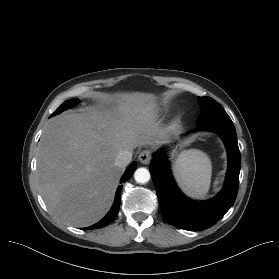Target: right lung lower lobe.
I'll return each mask as SVG.
<instances>
[{"mask_svg": "<svg viewBox=\"0 0 279 279\" xmlns=\"http://www.w3.org/2000/svg\"><path fill=\"white\" fill-rule=\"evenodd\" d=\"M136 167H137L136 163H132L129 166V168L127 169V171L125 172V174L121 178V183L127 181L132 176V174L136 170ZM121 187H122V185H120L117 188L113 206H112L111 210L107 213V215L102 220H100L98 223H96V224H94L90 227H87L85 229L101 228V227L107 226L108 224H110L115 219V217L118 215L119 208H120Z\"/></svg>", "mask_w": 279, "mask_h": 279, "instance_id": "right-lung-lower-lobe-1", "label": "right lung lower lobe"}]
</instances>
